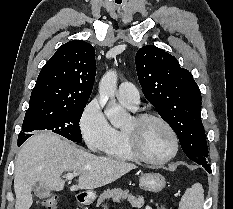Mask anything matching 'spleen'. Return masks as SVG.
Instances as JSON below:
<instances>
[{"mask_svg": "<svg viewBox=\"0 0 233 209\" xmlns=\"http://www.w3.org/2000/svg\"><path fill=\"white\" fill-rule=\"evenodd\" d=\"M204 190L200 183H195L187 189L181 198L179 209H202Z\"/></svg>", "mask_w": 233, "mask_h": 209, "instance_id": "obj_1", "label": "spleen"}]
</instances>
